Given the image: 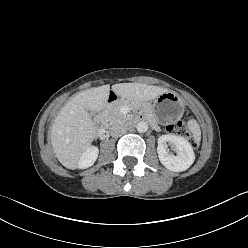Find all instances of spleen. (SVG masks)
Segmentation results:
<instances>
[{
    "instance_id": "1",
    "label": "spleen",
    "mask_w": 248,
    "mask_h": 248,
    "mask_svg": "<svg viewBox=\"0 0 248 248\" xmlns=\"http://www.w3.org/2000/svg\"><path fill=\"white\" fill-rule=\"evenodd\" d=\"M187 125H188L189 130L193 134L195 141L199 142L201 139V130H200V126L198 122L192 119L188 121Z\"/></svg>"
}]
</instances>
